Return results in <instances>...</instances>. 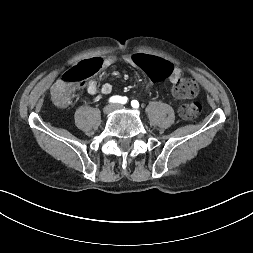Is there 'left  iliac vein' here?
Here are the masks:
<instances>
[{"label":"left iliac vein","mask_w":253,"mask_h":253,"mask_svg":"<svg viewBox=\"0 0 253 253\" xmlns=\"http://www.w3.org/2000/svg\"><path fill=\"white\" fill-rule=\"evenodd\" d=\"M124 108V106H122V105H115V109H123Z\"/></svg>","instance_id":"4c4485c4"}]
</instances>
